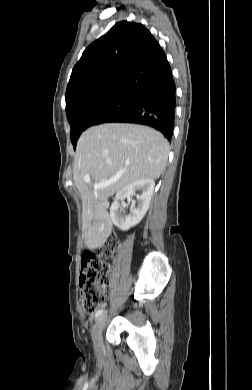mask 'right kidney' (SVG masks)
<instances>
[{"label": "right kidney", "mask_w": 252, "mask_h": 390, "mask_svg": "<svg viewBox=\"0 0 252 390\" xmlns=\"http://www.w3.org/2000/svg\"><path fill=\"white\" fill-rule=\"evenodd\" d=\"M155 182L153 179H142L132 182L125 188L121 189L116 194V199L110 207V218L113 224L122 231H127L131 227L137 225L145 216L150 200L154 191ZM141 191V194H136V191ZM136 196L137 206L132 205L130 214L125 216L120 211L119 201H123L126 197Z\"/></svg>", "instance_id": "ca27d5eb"}]
</instances>
